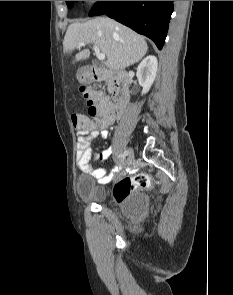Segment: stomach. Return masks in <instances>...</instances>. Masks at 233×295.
I'll list each match as a JSON object with an SVG mask.
<instances>
[{
    "mask_svg": "<svg viewBox=\"0 0 233 295\" xmlns=\"http://www.w3.org/2000/svg\"><path fill=\"white\" fill-rule=\"evenodd\" d=\"M76 76L79 82L82 83H86L90 79V75L85 71L84 68L79 69Z\"/></svg>",
    "mask_w": 233,
    "mask_h": 295,
    "instance_id": "obj_1",
    "label": "stomach"
}]
</instances>
